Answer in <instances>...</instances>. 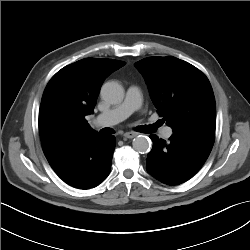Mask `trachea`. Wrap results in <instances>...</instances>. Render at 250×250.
Returning <instances> with one entry per match:
<instances>
[{"mask_svg":"<svg viewBox=\"0 0 250 250\" xmlns=\"http://www.w3.org/2000/svg\"><path fill=\"white\" fill-rule=\"evenodd\" d=\"M155 127H156V126H155ZM102 133H104V134H113L114 132H113V130L110 129V128H104V129L102 130Z\"/></svg>","mask_w":250,"mask_h":250,"instance_id":"3493384b","label":"trachea"}]
</instances>
